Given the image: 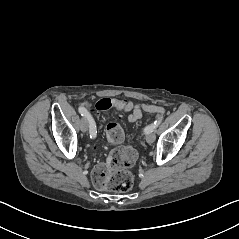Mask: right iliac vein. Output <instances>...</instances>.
<instances>
[{
	"label": "right iliac vein",
	"instance_id": "obj_1",
	"mask_svg": "<svg viewBox=\"0 0 239 239\" xmlns=\"http://www.w3.org/2000/svg\"><path fill=\"white\" fill-rule=\"evenodd\" d=\"M89 123L87 118H82L80 121V129L82 132H86L88 130Z\"/></svg>",
	"mask_w": 239,
	"mask_h": 239
}]
</instances>
